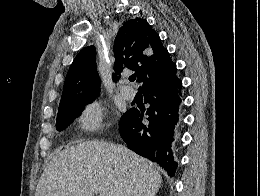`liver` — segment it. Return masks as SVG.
I'll return each instance as SVG.
<instances>
[{
  "mask_svg": "<svg viewBox=\"0 0 260 196\" xmlns=\"http://www.w3.org/2000/svg\"><path fill=\"white\" fill-rule=\"evenodd\" d=\"M160 172L152 162L121 144L82 142L66 146L53 156L36 188L35 196H156Z\"/></svg>",
  "mask_w": 260,
  "mask_h": 196,
  "instance_id": "obj_1",
  "label": "liver"
}]
</instances>
